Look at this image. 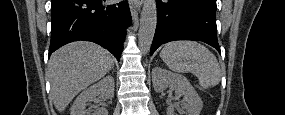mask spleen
I'll return each instance as SVG.
<instances>
[{
  "label": "spleen",
  "instance_id": "spleen-1",
  "mask_svg": "<svg viewBox=\"0 0 285 115\" xmlns=\"http://www.w3.org/2000/svg\"><path fill=\"white\" fill-rule=\"evenodd\" d=\"M160 57L168 68L177 73H192L203 89L219 84L221 68L215 55L195 41H173L167 43Z\"/></svg>",
  "mask_w": 285,
  "mask_h": 115
}]
</instances>
